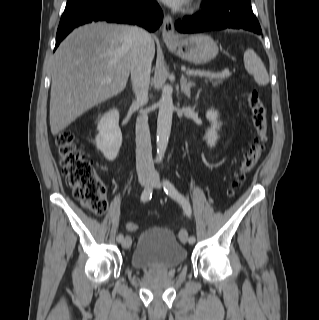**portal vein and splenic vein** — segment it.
Masks as SVG:
<instances>
[{"instance_id":"portal-vein-and-splenic-vein-1","label":"portal vein and splenic vein","mask_w":319,"mask_h":320,"mask_svg":"<svg viewBox=\"0 0 319 320\" xmlns=\"http://www.w3.org/2000/svg\"><path fill=\"white\" fill-rule=\"evenodd\" d=\"M185 74L188 76H201V77L215 78V79H223L230 76V73L228 70H224L220 73L201 71V70H185Z\"/></svg>"}]
</instances>
